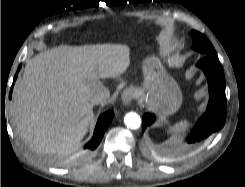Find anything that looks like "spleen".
<instances>
[{"mask_svg":"<svg viewBox=\"0 0 245 187\" xmlns=\"http://www.w3.org/2000/svg\"><path fill=\"white\" fill-rule=\"evenodd\" d=\"M189 127V122L184 120L180 121L170 127V132L173 134L174 138H177L181 133H183Z\"/></svg>","mask_w":245,"mask_h":187,"instance_id":"obj_1","label":"spleen"}]
</instances>
